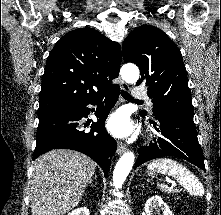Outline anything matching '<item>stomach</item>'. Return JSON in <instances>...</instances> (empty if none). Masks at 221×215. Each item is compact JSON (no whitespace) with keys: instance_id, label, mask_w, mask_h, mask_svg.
<instances>
[{"instance_id":"0dacf381","label":"stomach","mask_w":221,"mask_h":215,"mask_svg":"<svg viewBox=\"0 0 221 215\" xmlns=\"http://www.w3.org/2000/svg\"><path fill=\"white\" fill-rule=\"evenodd\" d=\"M155 172H156V171H150V172L148 173V175H149V176H154V175H155Z\"/></svg>"}]
</instances>
